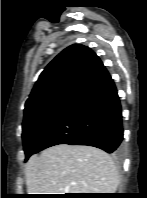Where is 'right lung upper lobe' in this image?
I'll use <instances>...</instances> for the list:
<instances>
[{"instance_id":"cb5924a9","label":"right lung upper lobe","mask_w":147,"mask_h":198,"mask_svg":"<svg viewBox=\"0 0 147 198\" xmlns=\"http://www.w3.org/2000/svg\"><path fill=\"white\" fill-rule=\"evenodd\" d=\"M98 56L73 44L57 55L39 76L25 104V114L54 102H76L107 75Z\"/></svg>"}]
</instances>
